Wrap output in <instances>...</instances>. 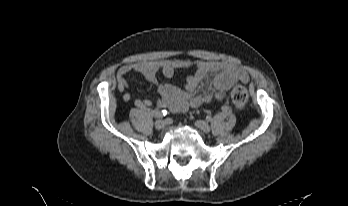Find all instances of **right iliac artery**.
I'll return each mask as SVG.
<instances>
[{"mask_svg": "<svg viewBox=\"0 0 348 206\" xmlns=\"http://www.w3.org/2000/svg\"><path fill=\"white\" fill-rule=\"evenodd\" d=\"M133 106L137 107L138 110H142V111L146 110V112L151 113L152 116H154L156 118H161L167 114L166 110L158 111V110L147 109V106L144 105L143 103H141L140 100H136V98H133Z\"/></svg>", "mask_w": 348, "mask_h": 206, "instance_id": "right-iliac-artery-1", "label": "right iliac artery"}]
</instances>
